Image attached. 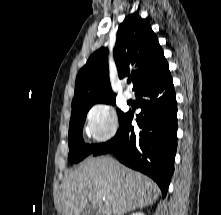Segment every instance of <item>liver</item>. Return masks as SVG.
<instances>
[{"instance_id": "liver-1", "label": "liver", "mask_w": 221, "mask_h": 215, "mask_svg": "<svg viewBox=\"0 0 221 215\" xmlns=\"http://www.w3.org/2000/svg\"><path fill=\"white\" fill-rule=\"evenodd\" d=\"M159 192L149 177L110 157L88 158L64 178L63 215H81L88 204L96 215H123L152 205Z\"/></svg>"}]
</instances>
